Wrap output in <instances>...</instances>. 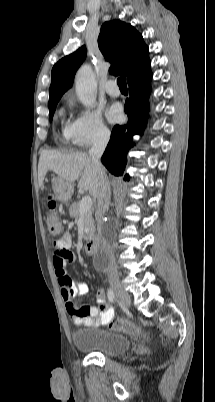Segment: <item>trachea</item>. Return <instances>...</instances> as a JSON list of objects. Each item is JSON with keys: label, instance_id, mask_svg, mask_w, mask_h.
Listing matches in <instances>:
<instances>
[{"label": "trachea", "instance_id": "obj_1", "mask_svg": "<svg viewBox=\"0 0 215 402\" xmlns=\"http://www.w3.org/2000/svg\"><path fill=\"white\" fill-rule=\"evenodd\" d=\"M118 86L120 89H127V84H126V77L122 76L119 77L117 80Z\"/></svg>", "mask_w": 215, "mask_h": 402}]
</instances>
